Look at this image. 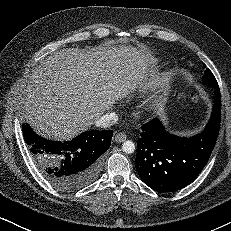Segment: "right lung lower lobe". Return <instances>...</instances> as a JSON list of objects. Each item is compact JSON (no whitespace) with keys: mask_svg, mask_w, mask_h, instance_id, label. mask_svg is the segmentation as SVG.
Masks as SVG:
<instances>
[{"mask_svg":"<svg viewBox=\"0 0 231 231\" xmlns=\"http://www.w3.org/2000/svg\"><path fill=\"white\" fill-rule=\"evenodd\" d=\"M22 131L40 173L66 192L81 189L96 179L113 135L112 130H91L62 143L37 135L28 124L22 125Z\"/></svg>","mask_w":231,"mask_h":231,"instance_id":"obj_1","label":"right lung lower lobe"}]
</instances>
